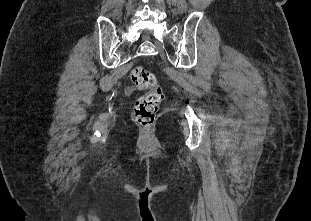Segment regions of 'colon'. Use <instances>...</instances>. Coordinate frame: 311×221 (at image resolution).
<instances>
[{"label":"colon","mask_w":311,"mask_h":221,"mask_svg":"<svg viewBox=\"0 0 311 221\" xmlns=\"http://www.w3.org/2000/svg\"><path fill=\"white\" fill-rule=\"evenodd\" d=\"M130 78L134 89L148 90L146 95L137 99L133 114L135 123L140 127L147 128L154 123L163 100L162 87L155 76L143 67L134 68Z\"/></svg>","instance_id":"colon-1"}]
</instances>
